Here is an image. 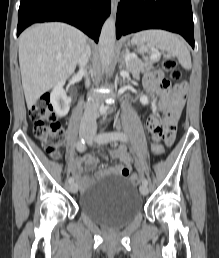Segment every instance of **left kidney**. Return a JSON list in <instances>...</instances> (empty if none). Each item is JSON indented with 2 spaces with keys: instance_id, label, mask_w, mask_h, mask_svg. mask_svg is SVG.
I'll return each mask as SVG.
<instances>
[{
  "instance_id": "5707ae66",
  "label": "left kidney",
  "mask_w": 219,
  "mask_h": 258,
  "mask_svg": "<svg viewBox=\"0 0 219 258\" xmlns=\"http://www.w3.org/2000/svg\"><path fill=\"white\" fill-rule=\"evenodd\" d=\"M140 102H141L143 105L148 104V98H147V96H146V95H142V96L140 97Z\"/></svg>"
}]
</instances>
